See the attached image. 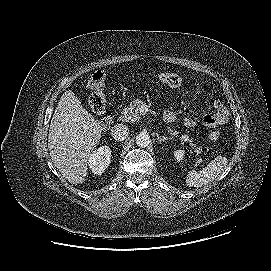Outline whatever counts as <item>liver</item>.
<instances>
[{"label": "liver", "instance_id": "liver-1", "mask_svg": "<svg viewBox=\"0 0 271 271\" xmlns=\"http://www.w3.org/2000/svg\"><path fill=\"white\" fill-rule=\"evenodd\" d=\"M101 136L100 122L71 90L64 92L51 119L48 148L54 165L70 183L84 182L89 156Z\"/></svg>", "mask_w": 271, "mask_h": 271}]
</instances>
